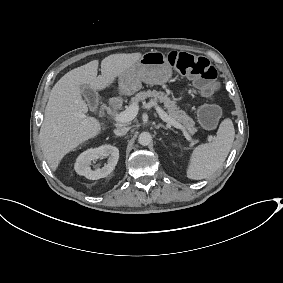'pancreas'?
Wrapping results in <instances>:
<instances>
[{
  "label": "pancreas",
  "instance_id": "cf45deb5",
  "mask_svg": "<svg viewBox=\"0 0 283 283\" xmlns=\"http://www.w3.org/2000/svg\"><path fill=\"white\" fill-rule=\"evenodd\" d=\"M146 99H149V103L153 106L163 103L164 112L168 114L169 117L179 123H183L190 133H195L197 131L193 126V119L187 116L183 110H180L176 102L171 100L165 93H158L156 90L139 92L132 98V103L133 105H137L138 102H144ZM116 106H121L120 100L116 101Z\"/></svg>",
  "mask_w": 283,
  "mask_h": 283
}]
</instances>
